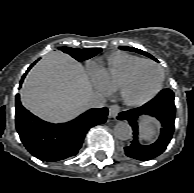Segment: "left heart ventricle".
Wrapping results in <instances>:
<instances>
[{"label":"left heart ventricle","mask_w":194,"mask_h":193,"mask_svg":"<svg viewBox=\"0 0 194 193\" xmlns=\"http://www.w3.org/2000/svg\"><path fill=\"white\" fill-rule=\"evenodd\" d=\"M160 78L159 70L151 65L140 66L124 89L128 99L140 100L149 96L157 87Z\"/></svg>","instance_id":"b2bd125f"}]
</instances>
